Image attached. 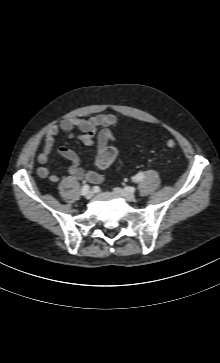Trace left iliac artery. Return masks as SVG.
<instances>
[{"instance_id":"1","label":"left iliac artery","mask_w":220,"mask_h":363,"mask_svg":"<svg viewBox=\"0 0 220 363\" xmlns=\"http://www.w3.org/2000/svg\"><path fill=\"white\" fill-rule=\"evenodd\" d=\"M144 179V174L142 172L138 173L136 176L133 177L134 182H140Z\"/></svg>"}]
</instances>
